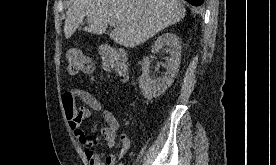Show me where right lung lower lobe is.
<instances>
[{
  "label": "right lung lower lobe",
  "mask_w": 276,
  "mask_h": 165,
  "mask_svg": "<svg viewBox=\"0 0 276 165\" xmlns=\"http://www.w3.org/2000/svg\"><path fill=\"white\" fill-rule=\"evenodd\" d=\"M193 6H200L204 3V0H186Z\"/></svg>",
  "instance_id": "right-lung-lower-lobe-1"
}]
</instances>
